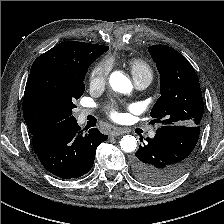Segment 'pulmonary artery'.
Segmentation results:
<instances>
[{
  "instance_id": "e3ab8cb5",
  "label": "pulmonary artery",
  "mask_w": 224,
  "mask_h": 224,
  "mask_svg": "<svg viewBox=\"0 0 224 224\" xmlns=\"http://www.w3.org/2000/svg\"><path fill=\"white\" fill-rule=\"evenodd\" d=\"M134 82H135V87L138 90H143L150 84L151 78H148V77L137 78L134 80ZM90 113H91V111H89V110H82L78 114V117H77L78 121L83 122L85 120L86 116ZM148 136L150 138H153L155 136V132L154 131L149 132Z\"/></svg>"
}]
</instances>
